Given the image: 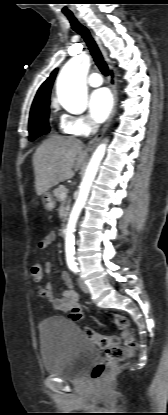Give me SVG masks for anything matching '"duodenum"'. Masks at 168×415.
<instances>
[{"instance_id":"obj_1","label":"duodenum","mask_w":168,"mask_h":415,"mask_svg":"<svg viewBox=\"0 0 168 415\" xmlns=\"http://www.w3.org/2000/svg\"><path fill=\"white\" fill-rule=\"evenodd\" d=\"M66 233H67V224L65 223V224L62 225V227L60 229V234L64 236V235H66Z\"/></svg>"}]
</instances>
